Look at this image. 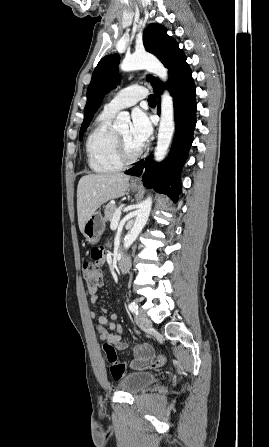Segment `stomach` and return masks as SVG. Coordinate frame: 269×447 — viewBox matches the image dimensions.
I'll return each mask as SVG.
<instances>
[{"label": "stomach", "instance_id": "0dacf381", "mask_svg": "<svg viewBox=\"0 0 269 447\" xmlns=\"http://www.w3.org/2000/svg\"><path fill=\"white\" fill-rule=\"evenodd\" d=\"M132 190H139V188L132 186ZM104 229L105 220L102 214H100V212H94L89 220H87L86 224H84L82 233L85 235L86 241H89V243H97Z\"/></svg>", "mask_w": 269, "mask_h": 447}]
</instances>
